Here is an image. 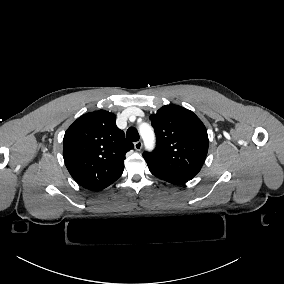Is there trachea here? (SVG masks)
Here are the masks:
<instances>
[{
    "label": "trachea",
    "instance_id": "1",
    "mask_svg": "<svg viewBox=\"0 0 284 284\" xmlns=\"http://www.w3.org/2000/svg\"><path fill=\"white\" fill-rule=\"evenodd\" d=\"M126 137L130 141H138L139 140V133L136 128L130 127L126 132Z\"/></svg>",
    "mask_w": 284,
    "mask_h": 284
}]
</instances>
